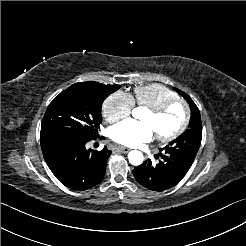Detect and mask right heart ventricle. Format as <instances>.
<instances>
[{"mask_svg": "<svg viewBox=\"0 0 246 246\" xmlns=\"http://www.w3.org/2000/svg\"><path fill=\"white\" fill-rule=\"evenodd\" d=\"M177 98L175 92L162 84H149L134 89V105L145 109L156 107L165 101Z\"/></svg>", "mask_w": 246, "mask_h": 246, "instance_id": "1", "label": "right heart ventricle"}]
</instances>
